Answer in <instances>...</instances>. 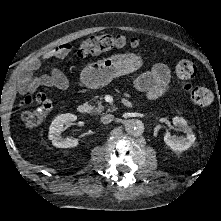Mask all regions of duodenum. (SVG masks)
<instances>
[{
  "label": "duodenum",
  "mask_w": 221,
  "mask_h": 221,
  "mask_svg": "<svg viewBox=\"0 0 221 221\" xmlns=\"http://www.w3.org/2000/svg\"><path fill=\"white\" fill-rule=\"evenodd\" d=\"M77 110H78V112H79L80 114L85 115V114L89 113L90 107H89L88 104H85V103H84V104H80V105L78 106Z\"/></svg>",
  "instance_id": "duodenum-1"
}]
</instances>
